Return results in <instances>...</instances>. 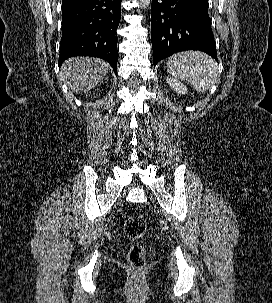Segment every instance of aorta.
<instances>
[{
  "label": "aorta",
  "mask_w": 272,
  "mask_h": 303,
  "mask_svg": "<svg viewBox=\"0 0 272 303\" xmlns=\"http://www.w3.org/2000/svg\"><path fill=\"white\" fill-rule=\"evenodd\" d=\"M151 0H140V3H141V7L143 9L147 8L150 4Z\"/></svg>",
  "instance_id": "obj_1"
}]
</instances>
